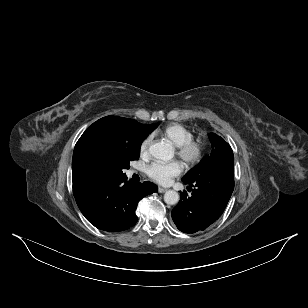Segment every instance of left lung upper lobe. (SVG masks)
<instances>
[{"mask_svg": "<svg viewBox=\"0 0 308 308\" xmlns=\"http://www.w3.org/2000/svg\"><path fill=\"white\" fill-rule=\"evenodd\" d=\"M212 143V152L204 157L198 165L193 167L182 180H191L206 170L222 164L234 165V155L230 145L215 133L209 134Z\"/></svg>", "mask_w": 308, "mask_h": 308, "instance_id": "1", "label": "left lung upper lobe"}]
</instances>
